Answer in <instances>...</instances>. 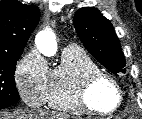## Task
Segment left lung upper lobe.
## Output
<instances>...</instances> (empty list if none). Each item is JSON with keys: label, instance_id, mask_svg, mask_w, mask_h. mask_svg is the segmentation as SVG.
Masks as SVG:
<instances>
[{"label": "left lung upper lobe", "instance_id": "obj_1", "mask_svg": "<svg viewBox=\"0 0 142 119\" xmlns=\"http://www.w3.org/2000/svg\"><path fill=\"white\" fill-rule=\"evenodd\" d=\"M76 32L85 46L113 74L125 73V56L113 26L98 9L84 7L74 15Z\"/></svg>", "mask_w": 142, "mask_h": 119}]
</instances>
